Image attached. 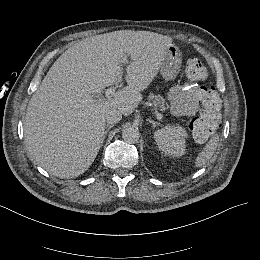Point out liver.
I'll return each mask as SVG.
<instances>
[{
	"label": "liver",
	"instance_id": "obj_1",
	"mask_svg": "<svg viewBox=\"0 0 260 260\" xmlns=\"http://www.w3.org/2000/svg\"><path fill=\"white\" fill-rule=\"evenodd\" d=\"M173 38L148 31H115L85 38L53 64L31 97L23 121L24 145L31 162L61 179L86 172L97 157L105 129L95 126L118 110L130 116L165 61ZM131 58L127 86L112 99H96L121 76Z\"/></svg>",
	"mask_w": 260,
	"mask_h": 260
}]
</instances>
